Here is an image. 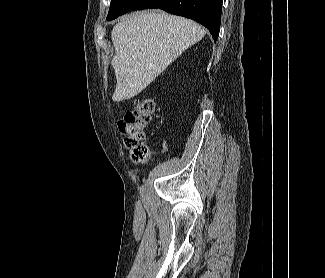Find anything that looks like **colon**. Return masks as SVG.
<instances>
[{
	"label": "colon",
	"mask_w": 325,
	"mask_h": 278,
	"mask_svg": "<svg viewBox=\"0 0 325 278\" xmlns=\"http://www.w3.org/2000/svg\"><path fill=\"white\" fill-rule=\"evenodd\" d=\"M154 111L155 101L141 96L133 101L130 111L118 123L124 144L130 150L131 160L136 164H143L148 159L150 151L144 141Z\"/></svg>",
	"instance_id": "5ec220e1"
}]
</instances>
